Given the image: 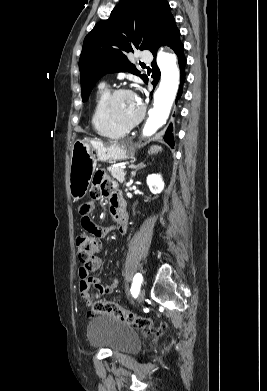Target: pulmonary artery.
Returning a JSON list of instances; mask_svg holds the SVG:
<instances>
[{"label": "pulmonary artery", "instance_id": "e3ab8cb5", "mask_svg": "<svg viewBox=\"0 0 267 391\" xmlns=\"http://www.w3.org/2000/svg\"><path fill=\"white\" fill-rule=\"evenodd\" d=\"M140 59L143 62H150L152 60V55L149 52L144 51L141 53ZM101 86H103V84H101Z\"/></svg>", "mask_w": 267, "mask_h": 391}]
</instances>
